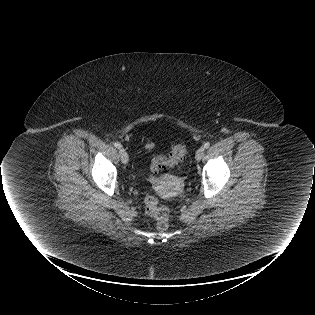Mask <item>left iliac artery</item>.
Masks as SVG:
<instances>
[{
	"instance_id": "left-iliac-artery-1",
	"label": "left iliac artery",
	"mask_w": 315,
	"mask_h": 315,
	"mask_svg": "<svg viewBox=\"0 0 315 315\" xmlns=\"http://www.w3.org/2000/svg\"><path fill=\"white\" fill-rule=\"evenodd\" d=\"M209 146H210V143H209V142H206V143L204 144V148H205V149L209 148Z\"/></svg>"
}]
</instances>
